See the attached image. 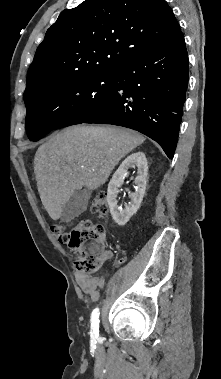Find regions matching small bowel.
Returning <instances> with one entry per match:
<instances>
[{
	"label": "small bowel",
	"instance_id": "c3829d8e",
	"mask_svg": "<svg viewBox=\"0 0 221 379\" xmlns=\"http://www.w3.org/2000/svg\"><path fill=\"white\" fill-rule=\"evenodd\" d=\"M112 257V253L109 250H104L101 257V264L106 263ZM76 281L82 288L83 292L87 294L92 301L98 300L100 296V290L103 287L104 280L102 277L96 274H85L79 272L76 274Z\"/></svg>",
	"mask_w": 221,
	"mask_h": 379
}]
</instances>
